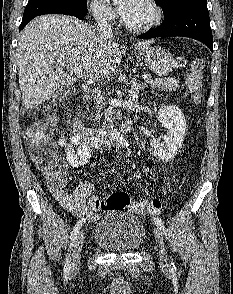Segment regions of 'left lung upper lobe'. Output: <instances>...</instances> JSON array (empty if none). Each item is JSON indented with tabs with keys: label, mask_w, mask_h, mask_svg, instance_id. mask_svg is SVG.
<instances>
[{
	"label": "left lung upper lobe",
	"mask_w": 233,
	"mask_h": 294,
	"mask_svg": "<svg viewBox=\"0 0 233 294\" xmlns=\"http://www.w3.org/2000/svg\"><path fill=\"white\" fill-rule=\"evenodd\" d=\"M155 2L161 6L164 14L168 13L178 4H181L184 2H196V3L207 4V0H155Z\"/></svg>",
	"instance_id": "1"
}]
</instances>
